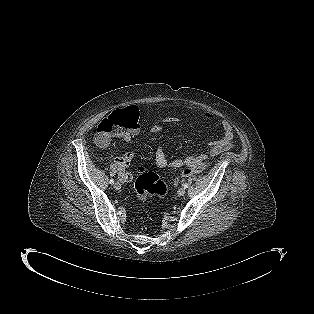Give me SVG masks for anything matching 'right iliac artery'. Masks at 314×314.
Masks as SVG:
<instances>
[{"mask_svg":"<svg viewBox=\"0 0 314 314\" xmlns=\"http://www.w3.org/2000/svg\"><path fill=\"white\" fill-rule=\"evenodd\" d=\"M110 184H114V179H110Z\"/></svg>","mask_w":314,"mask_h":314,"instance_id":"82829eb1","label":"right iliac artery"}]
</instances>
